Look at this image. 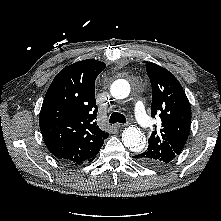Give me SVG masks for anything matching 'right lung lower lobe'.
<instances>
[{
	"mask_svg": "<svg viewBox=\"0 0 221 221\" xmlns=\"http://www.w3.org/2000/svg\"><path fill=\"white\" fill-rule=\"evenodd\" d=\"M96 155H97V154H96ZM96 155H95V156H96ZM95 156H94L93 158H91L89 161H92V160L95 158Z\"/></svg>",
	"mask_w": 221,
	"mask_h": 221,
	"instance_id": "98d812e1",
	"label": "right lung lower lobe"
}]
</instances>
